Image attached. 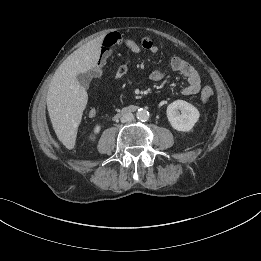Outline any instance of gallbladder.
<instances>
[{"label":"gallbladder","instance_id":"bac80fb5","mask_svg":"<svg viewBox=\"0 0 261 261\" xmlns=\"http://www.w3.org/2000/svg\"><path fill=\"white\" fill-rule=\"evenodd\" d=\"M76 79L82 87L88 88L89 83L92 79V76H91V73H89V72L80 73L76 76Z\"/></svg>","mask_w":261,"mask_h":261}]
</instances>
